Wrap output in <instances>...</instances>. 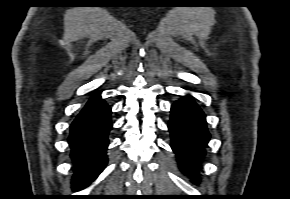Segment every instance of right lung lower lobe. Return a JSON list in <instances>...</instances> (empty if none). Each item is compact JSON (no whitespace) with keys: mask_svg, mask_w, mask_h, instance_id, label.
Returning a JSON list of instances; mask_svg holds the SVG:
<instances>
[{"mask_svg":"<svg viewBox=\"0 0 290 199\" xmlns=\"http://www.w3.org/2000/svg\"><path fill=\"white\" fill-rule=\"evenodd\" d=\"M111 108L99 94L92 96L70 127L68 142L76 165L72 181L78 191L88 186L107 164Z\"/></svg>","mask_w":290,"mask_h":199,"instance_id":"98d812e1","label":"right lung lower lobe"}]
</instances>
